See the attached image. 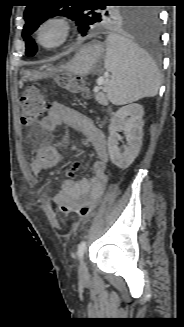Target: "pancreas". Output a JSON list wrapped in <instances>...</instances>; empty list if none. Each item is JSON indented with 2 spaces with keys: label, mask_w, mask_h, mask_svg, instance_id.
Listing matches in <instances>:
<instances>
[{
  "label": "pancreas",
  "mask_w": 184,
  "mask_h": 327,
  "mask_svg": "<svg viewBox=\"0 0 184 327\" xmlns=\"http://www.w3.org/2000/svg\"><path fill=\"white\" fill-rule=\"evenodd\" d=\"M95 99H96V101L98 103H100V104H102L104 106L108 105L107 97L103 92H97L96 96H95Z\"/></svg>",
  "instance_id": "cf45deb5"
}]
</instances>
